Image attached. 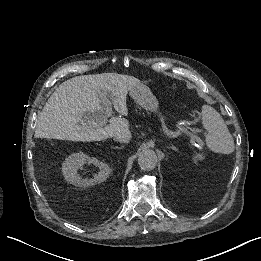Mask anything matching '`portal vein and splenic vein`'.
Listing matches in <instances>:
<instances>
[{
  "label": "portal vein and splenic vein",
  "instance_id": "obj_1",
  "mask_svg": "<svg viewBox=\"0 0 261 261\" xmlns=\"http://www.w3.org/2000/svg\"><path fill=\"white\" fill-rule=\"evenodd\" d=\"M104 121H106V120L104 119ZM89 126L96 128V127L101 126V122H97L95 120H92V122L89 124ZM179 130L182 131L184 133V135L186 137H188L191 141L197 142V143H199V145H204V140H202V138L200 136L194 135L193 133H191L186 128H180Z\"/></svg>",
  "mask_w": 261,
  "mask_h": 261
}]
</instances>
